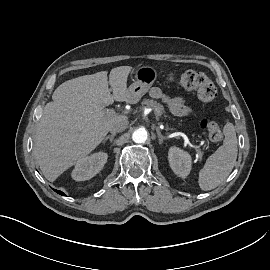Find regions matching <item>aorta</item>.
Returning <instances> with one entry per match:
<instances>
[{
    "label": "aorta",
    "instance_id": "obj_1",
    "mask_svg": "<svg viewBox=\"0 0 270 270\" xmlns=\"http://www.w3.org/2000/svg\"><path fill=\"white\" fill-rule=\"evenodd\" d=\"M148 138V133L145 128H138L132 134V139L135 143H144Z\"/></svg>",
    "mask_w": 270,
    "mask_h": 270
}]
</instances>
